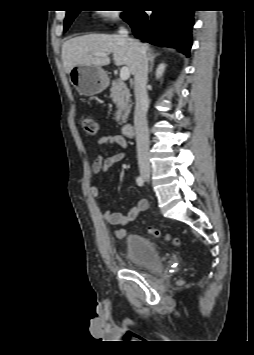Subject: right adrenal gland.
Returning <instances> with one entry per match:
<instances>
[{
  "label": "right adrenal gland",
  "mask_w": 254,
  "mask_h": 355,
  "mask_svg": "<svg viewBox=\"0 0 254 355\" xmlns=\"http://www.w3.org/2000/svg\"><path fill=\"white\" fill-rule=\"evenodd\" d=\"M159 55H160V53H154L153 51L148 52V60L150 61L148 73L152 72L153 66H154V59Z\"/></svg>",
  "instance_id": "obj_1"
}]
</instances>
